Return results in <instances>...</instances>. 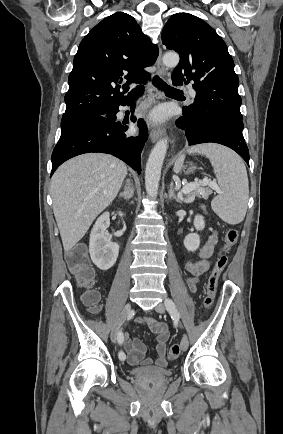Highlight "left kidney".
<instances>
[{"label":"left kidney","instance_id":"obj_1","mask_svg":"<svg viewBox=\"0 0 283 434\" xmlns=\"http://www.w3.org/2000/svg\"><path fill=\"white\" fill-rule=\"evenodd\" d=\"M194 226L197 231L203 230L205 227L204 217L196 215L194 218ZM200 237L197 233H190L184 238V246L188 251L194 252L199 248Z\"/></svg>","mask_w":283,"mask_h":434}]
</instances>
